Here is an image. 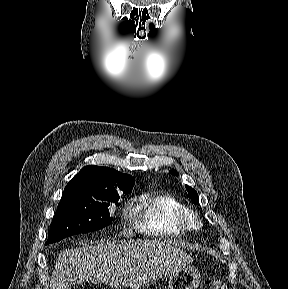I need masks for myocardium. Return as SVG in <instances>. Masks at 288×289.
Returning a JSON list of instances; mask_svg holds the SVG:
<instances>
[{"mask_svg": "<svg viewBox=\"0 0 288 289\" xmlns=\"http://www.w3.org/2000/svg\"><path fill=\"white\" fill-rule=\"evenodd\" d=\"M187 224L192 229H199L202 226L201 218L197 211L189 209L186 214Z\"/></svg>", "mask_w": 288, "mask_h": 289, "instance_id": "f54148a6", "label": "myocardium"}]
</instances>
